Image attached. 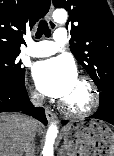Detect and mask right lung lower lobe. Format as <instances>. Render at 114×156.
Returning <instances> with one entry per match:
<instances>
[{"label": "right lung lower lobe", "instance_id": "obj_1", "mask_svg": "<svg viewBox=\"0 0 114 156\" xmlns=\"http://www.w3.org/2000/svg\"><path fill=\"white\" fill-rule=\"evenodd\" d=\"M9 111H22L23 113L32 115L44 125L48 123L44 108L33 107L31 104L25 84L17 90H0V112Z\"/></svg>", "mask_w": 114, "mask_h": 156}]
</instances>
